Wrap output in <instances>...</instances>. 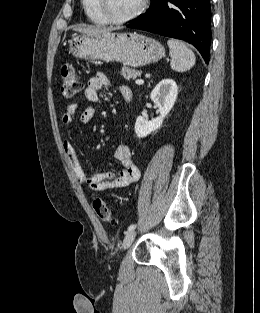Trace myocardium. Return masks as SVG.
<instances>
[{
  "label": "myocardium",
  "mask_w": 260,
  "mask_h": 313,
  "mask_svg": "<svg viewBox=\"0 0 260 313\" xmlns=\"http://www.w3.org/2000/svg\"><path fill=\"white\" fill-rule=\"evenodd\" d=\"M146 4H147V0H140L137 8L132 13H130L129 15L125 17L115 18L107 12L106 0H96V8L99 14L101 15V17L106 21V23L115 24V25L128 23L136 19L144 11Z\"/></svg>",
  "instance_id": "1"
}]
</instances>
